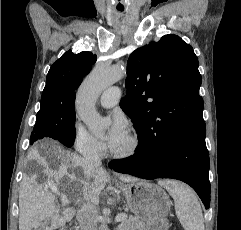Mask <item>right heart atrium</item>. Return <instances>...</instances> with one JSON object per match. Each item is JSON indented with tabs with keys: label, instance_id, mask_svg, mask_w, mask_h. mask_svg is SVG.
Masks as SVG:
<instances>
[{
	"label": "right heart atrium",
	"instance_id": "d8ad5b80",
	"mask_svg": "<svg viewBox=\"0 0 241 230\" xmlns=\"http://www.w3.org/2000/svg\"><path fill=\"white\" fill-rule=\"evenodd\" d=\"M73 146L78 153L87 157H97L104 151L103 142L79 123H76L74 127Z\"/></svg>",
	"mask_w": 241,
	"mask_h": 230
}]
</instances>
